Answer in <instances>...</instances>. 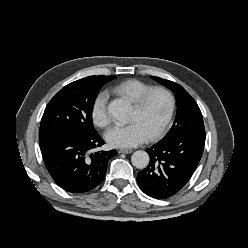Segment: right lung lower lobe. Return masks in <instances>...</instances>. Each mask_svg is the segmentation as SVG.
I'll return each instance as SVG.
<instances>
[{
    "instance_id": "right-lung-lower-lobe-1",
    "label": "right lung lower lobe",
    "mask_w": 248,
    "mask_h": 248,
    "mask_svg": "<svg viewBox=\"0 0 248 248\" xmlns=\"http://www.w3.org/2000/svg\"><path fill=\"white\" fill-rule=\"evenodd\" d=\"M104 144L99 134L63 133L41 146L45 166L53 180L71 193H84L105 178L108 161L116 150L95 151Z\"/></svg>"
}]
</instances>
